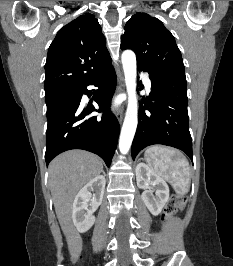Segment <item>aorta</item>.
I'll return each instance as SVG.
<instances>
[{
  "mask_svg": "<svg viewBox=\"0 0 233 266\" xmlns=\"http://www.w3.org/2000/svg\"><path fill=\"white\" fill-rule=\"evenodd\" d=\"M121 58L128 93V105L121 129L119 149L122 154H126L131 147L138 122V103L136 98L137 64L136 56L131 50H125Z\"/></svg>",
  "mask_w": 233,
  "mask_h": 266,
  "instance_id": "1",
  "label": "aorta"
}]
</instances>
